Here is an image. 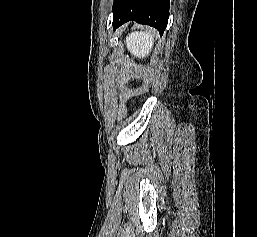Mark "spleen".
<instances>
[{
    "label": "spleen",
    "instance_id": "spleen-1",
    "mask_svg": "<svg viewBox=\"0 0 257 237\" xmlns=\"http://www.w3.org/2000/svg\"><path fill=\"white\" fill-rule=\"evenodd\" d=\"M154 42V33L152 31H136L126 37V45L130 53L138 58H144L149 55Z\"/></svg>",
    "mask_w": 257,
    "mask_h": 237
}]
</instances>
